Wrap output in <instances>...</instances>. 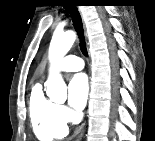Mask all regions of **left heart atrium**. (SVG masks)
<instances>
[{"label": "left heart atrium", "instance_id": "obj_1", "mask_svg": "<svg viewBox=\"0 0 155 141\" xmlns=\"http://www.w3.org/2000/svg\"><path fill=\"white\" fill-rule=\"evenodd\" d=\"M89 94L88 78L85 74H76L69 83V103L70 105L81 110L86 105Z\"/></svg>", "mask_w": 155, "mask_h": 141}]
</instances>
